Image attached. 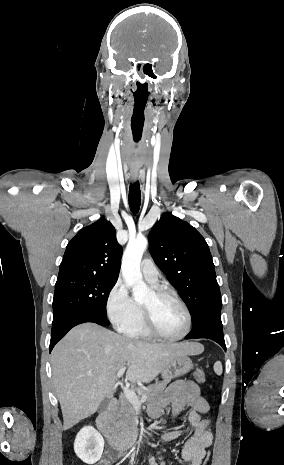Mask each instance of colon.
<instances>
[{
    "label": "colon",
    "mask_w": 284,
    "mask_h": 465,
    "mask_svg": "<svg viewBox=\"0 0 284 465\" xmlns=\"http://www.w3.org/2000/svg\"><path fill=\"white\" fill-rule=\"evenodd\" d=\"M194 377H195V380L198 383H205L206 380H207L206 373L202 369L195 370ZM209 452L206 453V455H205L206 457H204V462H202V465H209L208 462L210 461V458L212 456L211 453H209Z\"/></svg>",
    "instance_id": "obj_1"
}]
</instances>
